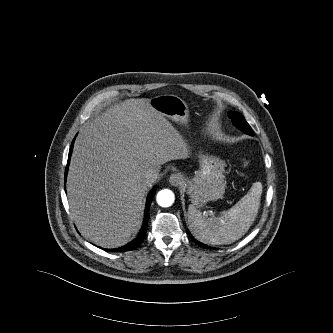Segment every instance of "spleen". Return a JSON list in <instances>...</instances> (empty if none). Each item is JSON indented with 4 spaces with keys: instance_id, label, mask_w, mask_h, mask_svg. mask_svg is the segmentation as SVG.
Returning a JSON list of instances; mask_svg holds the SVG:
<instances>
[{
    "instance_id": "3e777b00",
    "label": "spleen",
    "mask_w": 333,
    "mask_h": 333,
    "mask_svg": "<svg viewBox=\"0 0 333 333\" xmlns=\"http://www.w3.org/2000/svg\"><path fill=\"white\" fill-rule=\"evenodd\" d=\"M262 184L253 183L249 192L232 208L216 217H205L194 205L188 207V222L193 235L203 243L231 244L253 224L260 207Z\"/></svg>"
}]
</instances>
